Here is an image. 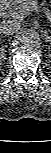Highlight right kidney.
I'll use <instances>...</instances> for the list:
<instances>
[{
	"label": "right kidney",
	"mask_w": 51,
	"mask_h": 153,
	"mask_svg": "<svg viewBox=\"0 0 51 153\" xmlns=\"http://www.w3.org/2000/svg\"><path fill=\"white\" fill-rule=\"evenodd\" d=\"M4 57V52L1 50V58Z\"/></svg>",
	"instance_id": "obj_1"
}]
</instances>
